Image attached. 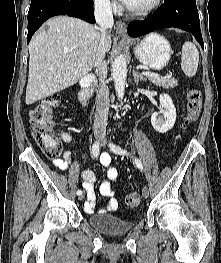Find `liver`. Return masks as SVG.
<instances>
[{"label": "liver", "mask_w": 221, "mask_h": 263, "mask_svg": "<svg viewBox=\"0 0 221 263\" xmlns=\"http://www.w3.org/2000/svg\"><path fill=\"white\" fill-rule=\"evenodd\" d=\"M29 44V75L25 102L31 105L76 84L95 64L100 31L77 18L57 16L46 22ZM105 36V50L111 48Z\"/></svg>", "instance_id": "6515ba94"}]
</instances>
